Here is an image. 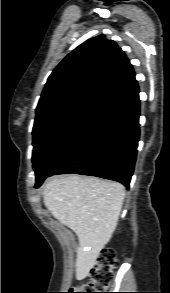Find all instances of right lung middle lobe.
<instances>
[{
    "instance_id": "right-lung-middle-lobe-1",
    "label": "right lung middle lobe",
    "mask_w": 170,
    "mask_h": 293,
    "mask_svg": "<svg viewBox=\"0 0 170 293\" xmlns=\"http://www.w3.org/2000/svg\"><path fill=\"white\" fill-rule=\"evenodd\" d=\"M106 108L78 104L34 124L32 161L36 185L49 176L59 160L82 139Z\"/></svg>"
}]
</instances>
